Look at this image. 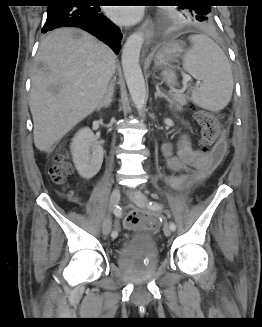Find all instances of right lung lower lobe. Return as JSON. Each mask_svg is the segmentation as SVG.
<instances>
[{"label": "right lung lower lobe", "instance_id": "1", "mask_svg": "<svg viewBox=\"0 0 262 327\" xmlns=\"http://www.w3.org/2000/svg\"><path fill=\"white\" fill-rule=\"evenodd\" d=\"M48 6L47 19L42 28L46 33L60 27L81 28L106 43L116 54L122 34L100 10V6H83L78 0H53Z\"/></svg>", "mask_w": 262, "mask_h": 327}]
</instances>
